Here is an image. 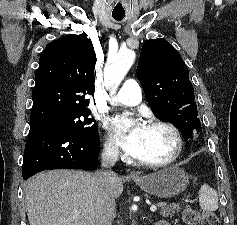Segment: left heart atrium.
Instances as JSON below:
<instances>
[{"mask_svg": "<svg viewBox=\"0 0 237 225\" xmlns=\"http://www.w3.org/2000/svg\"><path fill=\"white\" fill-rule=\"evenodd\" d=\"M145 127L146 126L140 122L135 123L131 127H127L126 118L124 116H117L111 120V128L120 146L127 154L136 158L141 151Z\"/></svg>", "mask_w": 237, "mask_h": 225, "instance_id": "obj_1", "label": "left heart atrium"}]
</instances>
